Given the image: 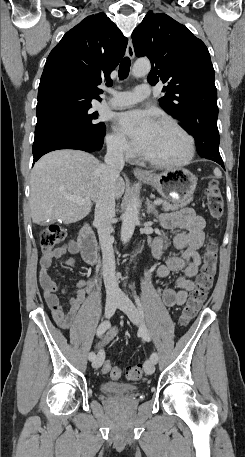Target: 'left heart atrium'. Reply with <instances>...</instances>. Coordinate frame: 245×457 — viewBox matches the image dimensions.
Returning a JSON list of instances; mask_svg holds the SVG:
<instances>
[{"label":"left heart atrium","instance_id":"left-heart-atrium-1","mask_svg":"<svg viewBox=\"0 0 245 457\" xmlns=\"http://www.w3.org/2000/svg\"><path fill=\"white\" fill-rule=\"evenodd\" d=\"M117 125L140 150L149 143L158 128L150 113L144 110H131L120 114Z\"/></svg>","mask_w":245,"mask_h":457}]
</instances>
